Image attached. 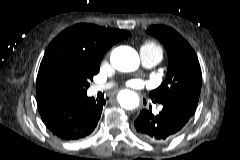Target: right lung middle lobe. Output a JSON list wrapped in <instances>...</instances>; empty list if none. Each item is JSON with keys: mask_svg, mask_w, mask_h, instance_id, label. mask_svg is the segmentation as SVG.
Segmentation results:
<instances>
[{"mask_svg": "<svg viewBox=\"0 0 240 160\" xmlns=\"http://www.w3.org/2000/svg\"><path fill=\"white\" fill-rule=\"evenodd\" d=\"M99 68L100 61H79L54 67L47 77L50 94L66 98L85 95L90 85L89 81L99 72Z\"/></svg>", "mask_w": 240, "mask_h": 160, "instance_id": "obj_1", "label": "right lung middle lobe"}]
</instances>
